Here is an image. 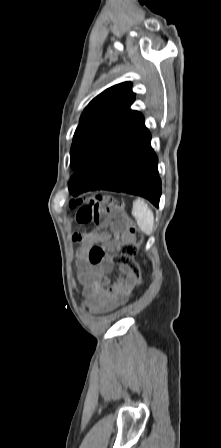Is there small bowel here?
I'll list each match as a JSON object with an SVG mask.
<instances>
[{
  "label": "small bowel",
  "instance_id": "1",
  "mask_svg": "<svg viewBox=\"0 0 221 448\" xmlns=\"http://www.w3.org/2000/svg\"><path fill=\"white\" fill-rule=\"evenodd\" d=\"M128 239L127 233L115 224L110 225V234L100 233L85 240L79 234L73 235V240L81 242L78 267L86 304L96 313H106L126 303L135 284L131 274L124 267L115 266L110 259L96 265L87 262L85 260L87 250L95 242L113 247ZM114 269L117 277L111 281L110 274Z\"/></svg>",
  "mask_w": 221,
  "mask_h": 448
}]
</instances>
